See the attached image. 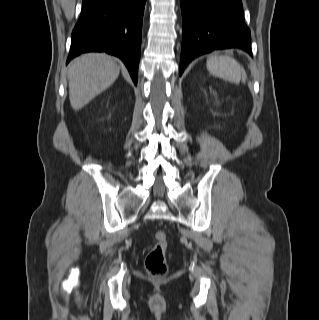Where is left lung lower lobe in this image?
Wrapping results in <instances>:
<instances>
[{
	"label": "left lung lower lobe",
	"mask_w": 319,
	"mask_h": 320,
	"mask_svg": "<svg viewBox=\"0 0 319 320\" xmlns=\"http://www.w3.org/2000/svg\"><path fill=\"white\" fill-rule=\"evenodd\" d=\"M181 10L180 75L192 59L216 49L238 48L252 55L241 0H181Z\"/></svg>",
	"instance_id": "0a47b994"
}]
</instances>
